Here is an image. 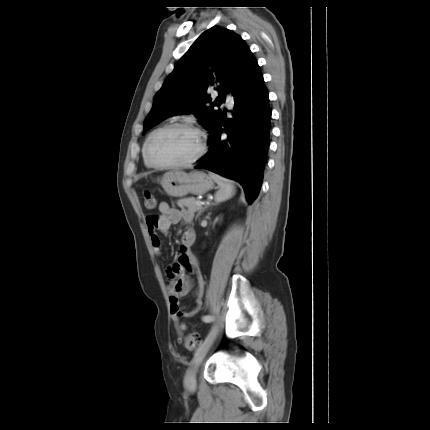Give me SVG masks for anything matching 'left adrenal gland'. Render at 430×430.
Listing matches in <instances>:
<instances>
[{
    "label": "left adrenal gland",
    "instance_id": "a2214340",
    "mask_svg": "<svg viewBox=\"0 0 430 430\" xmlns=\"http://www.w3.org/2000/svg\"><path fill=\"white\" fill-rule=\"evenodd\" d=\"M215 205H218V203H209L208 205H206L201 211H199L198 212V214H197V216H196V219L200 216V214L202 213V212H204L208 207H210V206H215Z\"/></svg>",
    "mask_w": 430,
    "mask_h": 430
}]
</instances>
